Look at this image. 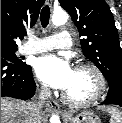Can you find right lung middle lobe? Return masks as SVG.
I'll use <instances>...</instances> for the list:
<instances>
[{
	"instance_id": "1",
	"label": "right lung middle lobe",
	"mask_w": 122,
	"mask_h": 123,
	"mask_svg": "<svg viewBox=\"0 0 122 123\" xmlns=\"http://www.w3.org/2000/svg\"><path fill=\"white\" fill-rule=\"evenodd\" d=\"M16 51L17 49H1V57L14 63H23L20 59L17 58L15 54Z\"/></svg>"
}]
</instances>
